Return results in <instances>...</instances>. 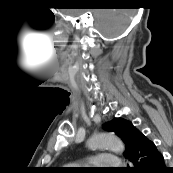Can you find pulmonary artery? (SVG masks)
I'll list each match as a JSON object with an SVG mask.
<instances>
[{"instance_id":"obj_1","label":"pulmonary artery","mask_w":173,"mask_h":173,"mask_svg":"<svg viewBox=\"0 0 173 173\" xmlns=\"http://www.w3.org/2000/svg\"><path fill=\"white\" fill-rule=\"evenodd\" d=\"M86 164L98 166L101 168H112L121 165V160L113 154H102L90 158Z\"/></svg>"}]
</instances>
